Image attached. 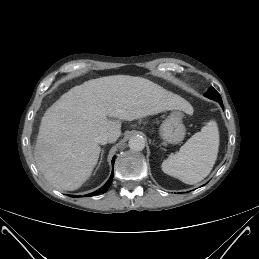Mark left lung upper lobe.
Masks as SVG:
<instances>
[{"mask_svg": "<svg viewBox=\"0 0 259 259\" xmlns=\"http://www.w3.org/2000/svg\"><path fill=\"white\" fill-rule=\"evenodd\" d=\"M205 96L210 99H213L215 101L222 100L219 93L213 87L209 88V90L206 92Z\"/></svg>", "mask_w": 259, "mask_h": 259, "instance_id": "1", "label": "left lung upper lobe"}]
</instances>
